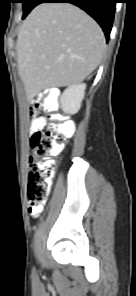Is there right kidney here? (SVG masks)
<instances>
[{"label":"right kidney","instance_id":"right-kidney-1","mask_svg":"<svg viewBox=\"0 0 136 296\" xmlns=\"http://www.w3.org/2000/svg\"><path fill=\"white\" fill-rule=\"evenodd\" d=\"M85 89L84 83L69 86L60 97L62 110L70 114L77 113L81 107Z\"/></svg>","mask_w":136,"mask_h":296}]
</instances>
